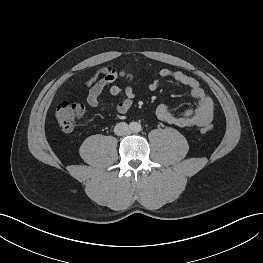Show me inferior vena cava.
I'll use <instances>...</instances> for the list:
<instances>
[{
  "label": "inferior vena cava",
  "mask_w": 263,
  "mask_h": 263,
  "mask_svg": "<svg viewBox=\"0 0 263 263\" xmlns=\"http://www.w3.org/2000/svg\"><path fill=\"white\" fill-rule=\"evenodd\" d=\"M129 132H130V127L125 122H121V123L116 124V126L114 128V133L118 136L126 135Z\"/></svg>",
  "instance_id": "602c4592"
}]
</instances>
